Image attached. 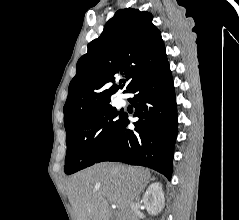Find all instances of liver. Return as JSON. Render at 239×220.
Instances as JSON below:
<instances>
[{"mask_svg":"<svg viewBox=\"0 0 239 220\" xmlns=\"http://www.w3.org/2000/svg\"><path fill=\"white\" fill-rule=\"evenodd\" d=\"M150 177V172L141 167L99 163L73 175L65 189L76 220H110L109 203L126 220L130 203Z\"/></svg>","mask_w":239,"mask_h":220,"instance_id":"1","label":"liver"}]
</instances>
